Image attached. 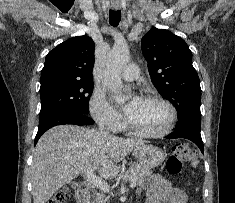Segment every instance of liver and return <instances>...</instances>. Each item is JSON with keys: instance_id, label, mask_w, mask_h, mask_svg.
I'll return each mask as SVG.
<instances>
[{"instance_id": "liver-1", "label": "liver", "mask_w": 235, "mask_h": 203, "mask_svg": "<svg viewBox=\"0 0 235 203\" xmlns=\"http://www.w3.org/2000/svg\"><path fill=\"white\" fill-rule=\"evenodd\" d=\"M145 144L141 139L103 136L98 130L59 125L45 132L33 153L31 166L34 203H46L80 174L94 168L103 179L117 176L127 154Z\"/></svg>"}]
</instances>
